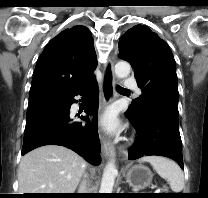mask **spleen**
Here are the masks:
<instances>
[{"instance_id":"3e777b00","label":"spleen","mask_w":208,"mask_h":198,"mask_svg":"<svg viewBox=\"0 0 208 198\" xmlns=\"http://www.w3.org/2000/svg\"><path fill=\"white\" fill-rule=\"evenodd\" d=\"M143 160L148 161L158 175L169 182L170 188L174 193L182 191L184 188V175L174 161L158 156L144 157Z\"/></svg>"}]
</instances>
